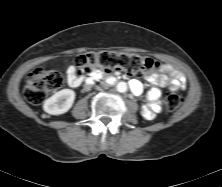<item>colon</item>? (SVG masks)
Instances as JSON below:
<instances>
[{
  "label": "colon",
  "instance_id": "colon-1",
  "mask_svg": "<svg viewBox=\"0 0 222 187\" xmlns=\"http://www.w3.org/2000/svg\"><path fill=\"white\" fill-rule=\"evenodd\" d=\"M73 64L74 68L87 78L116 69L135 75L153 73L160 68L159 62L150 57L109 51L79 55ZM62 85L63 77L59 72L38 67L28 75L24 96L29 103L40 104L50 92L58 90ZM180 103L181 97L178 93L166 96L165 107L168 111H176Z\"/></svg>",
  "mask_w": 222,
  "mask_h": 187
}]
</instances>
